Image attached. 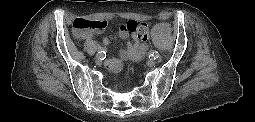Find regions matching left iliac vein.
I'll return each instance as SVG.
<instances>
[{
	"label": "left iliac vein",
	"mask_w": 255,
	"mask_h": 122,
	"mask_svg": "<svg viewBox=\"0 0 255 122\" xmlns=\"http://www.w3.org/2000/svg\"><path fill=\"white\" fill-rule=\"evenodd\" d=\"M155 60L154 59H150V60H148L147 61V65L149 66V67H152V66H154L155 65Z\"/></svg>",
	"instance_id": "left-iliac-vein-1"
}]
</instances>
